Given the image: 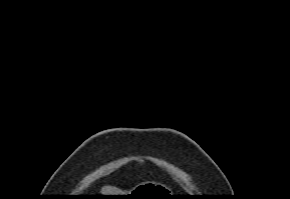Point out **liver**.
<instances>
[{
    "label": "liver",
    "instance_id": "6515ba94",
    "mask_svg": "<svg viewBox=\"0 0 290 199\" xmlns=\"http://www.w3.org/2000/svg\"><path fill=\"white\" fill-rule=\"evenodd\" d=\"M103 193H117V190L114 188H110V187H104Z\"/></svg>",
    "mask_w": 290,
    "mask_h": 199
}]
</instances>
